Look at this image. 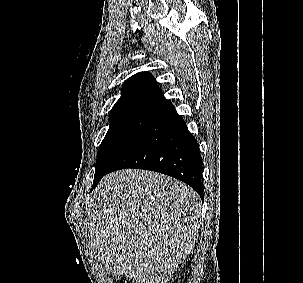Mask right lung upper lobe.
I'll return each instance as SVG.
<instances>
[{
    "label": "right lung upper lobe",
    "mask_w": 303,
    "mask_h": 283,
    "mask_svg": "<svg viewBox=\"0 0 303 283\" xmlns=\"http://www.w3.org/2000/svg\"><path fill=\"white\" fill-rule=\"evenodd\" d=\"M173 107L154 77L149 72H138L124 82L122 95L110 111V118L131 115L157 118Z\"/></svg>",
    "instance_id": "obj_1"
}]
</instances>
